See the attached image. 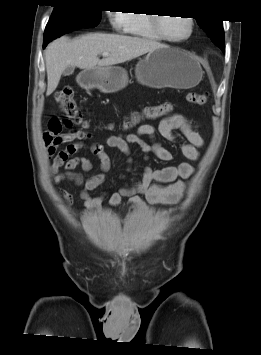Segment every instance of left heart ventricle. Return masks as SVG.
<instances>
[{"instance_id": "obj_1", "label": "left heart ventricle", "mask_w": 261, "mask_h": 355, "mask_svg": "<svg viewBox=\"0 0 261 355\" xmlns=\"http://www.w3.org/2000/svg\"><path fill=\"white\" fill-rule=\"evenodd\" d=\"M164 34L173 39H179L188 35L190 25L186 17H166L162 20Z\"/></svg>"}]
</instances>
